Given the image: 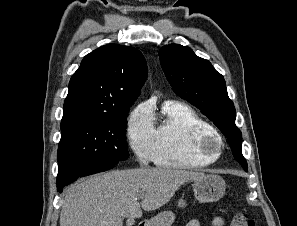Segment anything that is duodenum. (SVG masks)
Here are the masks:
<instances>
[{
    "label": "duodenum",
    "instance_id": "obj_1",
    "mask_svg": "<svg viewBox=\"0 0 297 226\" xmlns=\"http://www.w3.org/2000/svg\"><path fill=\"white\" fill-rule=\"evenodd\" d=\"M140 226H146V221H143Z\"/></svg>",
    "mask_w": 297,
    "mask_h": 226
}]
</instances>
